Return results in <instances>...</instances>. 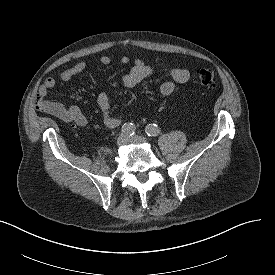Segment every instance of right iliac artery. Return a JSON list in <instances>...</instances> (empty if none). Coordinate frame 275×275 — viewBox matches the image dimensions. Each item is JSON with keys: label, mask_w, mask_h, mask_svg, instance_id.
Returning <instances> with one entry per match:
<instances>
[{"label": "right iliac artery", "mask_w": 275, "mask_h": 275, "mask_svg": "<svg viewBox=\"0 0 275 275\" xmlns=\"http://www.w3.org/2000/svg\"><path fill=\"white\" fill-rule=\"evenodd\" d=\"M135 126L133 123H125L122 126V133L127 134L128 136H132L135 134Z\"/></svg>", "instance_id": "82829eb1"}]
</instances>
